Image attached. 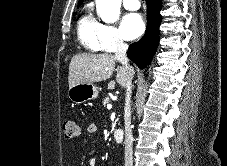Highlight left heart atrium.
<instances>
[{"mask_svg": "<svg viewBox=\"0 0 227 166\" xmlns=\"http://www.w3.org/2000/svg\"><path fill=\"white\" fill-rule=\"evenodd\" d=\"M144 21L138 13H130L121 21V34L127 40H133L144 32Z\"/></svg>", "mask_w": 227, "mask_h": 166, "instance_id": "left-heart-atrium-1", "label": "left heart atrium"}]
</instances>
